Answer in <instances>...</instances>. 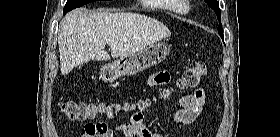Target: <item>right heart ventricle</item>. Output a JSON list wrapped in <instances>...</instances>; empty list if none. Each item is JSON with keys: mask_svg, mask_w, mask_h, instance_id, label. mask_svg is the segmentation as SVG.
I'll return each mask as SVG.
<instances>
[{"mask_svg": "<svg viewBox=\"0 0 280 137\" xmlns=\"http://www.w3.org/2000/svg\"><path fill=\"white\" fill-rule=\"evenodd\" d=\"M145 1L162 2L164 3L166 10L177 15H183L190 10L186 0H145Z\"/></svg>", "mask_w": 280, "mask_h": 137, "instance_id": "e07e8e85", "label": "right heart ventricle"}]
</instances>
